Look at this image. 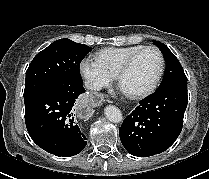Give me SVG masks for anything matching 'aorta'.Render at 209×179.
Masks as SVG:
<instances>
[{
    "instance_id": "aorta-1",
    "label": "aorta",
    "mask_w": 209,
    "mask_h": 179,
    "mask_svg": "<svg viewBox=\"0 0 209 179\" xmlns=\"http://www.w3.org/2000/svg\"><path fill=\"white\" fill-rule=\"evenodd\" d=\"M105 116L109 121L113 123H119L123 118L121 111L113 105H109L105 108Z\"/></svg>"
}]
</instances>
